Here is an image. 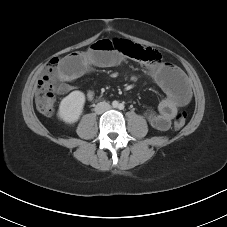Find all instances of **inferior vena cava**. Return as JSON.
I'll return each mask as SVG.
<instances>
[{"mask_svg": "<svg viewBox=\"0 0 227 227\" xmlns=\"http://www.w3.org/2000/svg\"><path fill=\"white\" fill-rule=\"evenodd\" d=\"M111 108L110 104L107 102H100L95 106V112L97 114H102L103 112Z\"/></svg>", "mask_w": 227, "mask_h": 227, "instance_id": "inferior-vena-cava-1", "label": "inferior vena cava"}]
</instances>
